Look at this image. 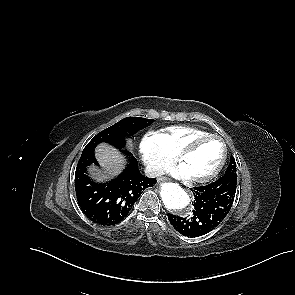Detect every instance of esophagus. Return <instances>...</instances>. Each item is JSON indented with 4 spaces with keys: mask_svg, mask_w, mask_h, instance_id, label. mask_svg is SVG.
Masks as SVG:
<instances>
[{
    "mask_svg": "<svg viewBox=\"0 0 295 295\" xmlns=\"http://www.w3.org/2000/svg\"><path fill=\"white\" fill-rule=\"evenodd\" d=\"M166 180H167V178H165V177H161V178L158 179V182H164V181H166Z\"/></svg>",
    "mask_w": 295,
    "mask_h": 295,
    "instance_id": "1",
    "label": "esophagus"
}]
</instances>
